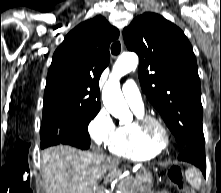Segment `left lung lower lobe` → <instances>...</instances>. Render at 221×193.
I'll list each match as a JSON object with an SVG mask.
<instances>
[{
	"mask_svg": "<svg viewBox=\"0 0 221 193\" xmlns=\"http://www.w3.org/2000/svg\"><path fill=\"white\" fill-rule=\"evenodd\" d=\"M179 160L189 162L202 171L206 175V157H205V141L186 146L180 153Z\"/></svg>",
	"mask_w": 221,
	"mask_h": 193,
	"instance_id": "left-lung-lower-lobe-1",
	"label": "left lung lower lobe"
}]
</instances>
